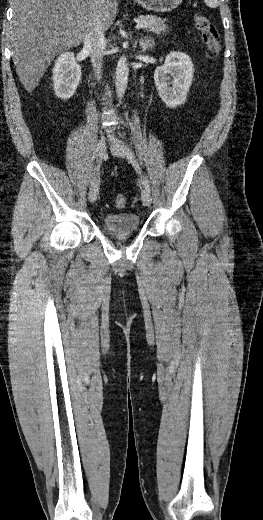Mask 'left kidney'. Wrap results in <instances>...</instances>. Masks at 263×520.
Returning a JSON list of instances; mask_svg holds the SVG:
<instances>
[{"label":"left kidney","mask_w":263,"mask_h":520,"mask_svg":"<svg viewBox=\"0 0 263 520\" xmlns=\"http://www.w3.org/2000/svg\"><path fill=\"white\" fill-rule=\"evenodd\" d=\"M193 73L194 68L190 57L181 52L168 54L164 65L155 70V85L167 107L176 108L186 101L192 85Z\"/></svg>","instance_id":"1"}]
</instances>
